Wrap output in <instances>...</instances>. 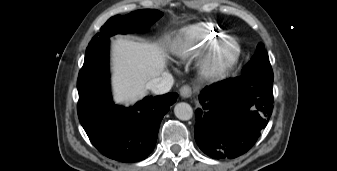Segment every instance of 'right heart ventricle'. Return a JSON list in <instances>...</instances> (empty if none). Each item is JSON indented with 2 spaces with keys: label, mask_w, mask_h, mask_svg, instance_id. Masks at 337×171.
<instances>
[{
  "label": "right heart ventricle",
  "mask_w": 337,
  "mask_h": 171,
  "mask_svg": "<svg viewBox=\"0 0 337 171\" xmlns=\"http://www.w3.org/2000/svg\"><path fill=\"white\" fill-rule=\"evenodd\" d=\"M228 36L218 24L199 22L185 27L177 39L175 51L178 58L190 61L200 56L212 43Z\"/></svg>",
  "instance_id": "1"
}]
</instances>
